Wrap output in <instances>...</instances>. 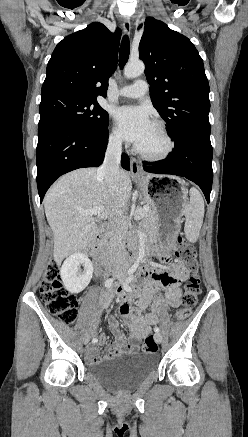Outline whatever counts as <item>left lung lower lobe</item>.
I'll return each instance as SVG.
<instances>
[{
	"label": "left lung lower lobe",
	"mask_w": 248,
	"mask_h": 437,
	"mask_svg": "<svg viewBox=\"0 0 248 437\" xmlns=\"http://www.w3.org/2000/svg\"><path fill=\"white\" fill-rule=\"evenodd\" d=\"M174 142V151L166 159L144 170L186 177L201 188L209 203L213 181L210 123L188 127Z\"/></svg>",
	"instance_id": "1"
}]
</instances>
